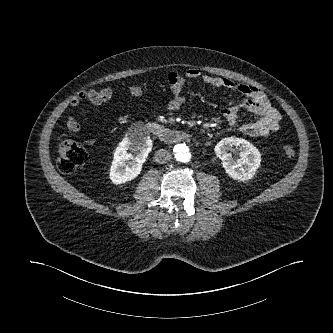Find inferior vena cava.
Masks as SVG:
<instances>
[{"instance_id": "602c4592", "label": "inferior vena cava", "mask_w": 333, "mask_h": 333, "mask_svg": "<svg viewBox=\"0 0 333 333\" xmlns=\"http://www.w3.org/2000/svg\"><path fill=\"white\" fill-rule=\"evenodd\" d=\"M154 159L157 163H167L170 161L171 159V154L169 151L165 150V149H161L158 152H156Z\"/></svg>"}]
</instances>
